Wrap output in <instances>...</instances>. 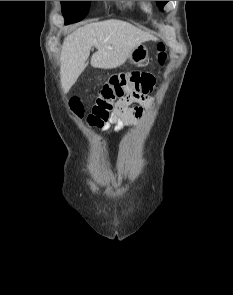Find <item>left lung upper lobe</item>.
Returning <instances> with one entry per match:
<instances>
[{"mask_svg":"<svg viewBox=\"0 0 233 295\" xmlns=\"http://www.w3.org/2000/svg\"><path fill=\"white\" fill-rule=\"evenodd\" d=\"M168 1H156L157 6L162 10L164 5L167 3Z\"/></svg>","mask_w":233,"mask_h":295,"instance_id":"5c2ea615","label":"left lung upper lobe"}]
</instances>
